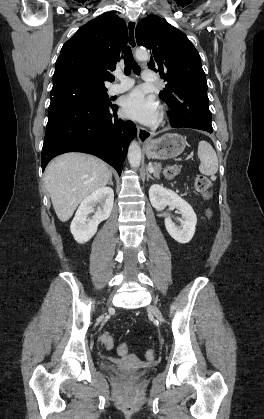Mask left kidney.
<instances>
[{
    "instance_id": "left-kidney-1",
    "label": "left kidney",
    "mask_w": 264,
    "mask_h": 419,
    "mask_svg": "<svg viewBox=\"0 0 264 419\" xmlns=\"http://www.w3.org/2000/svg\"><path fill=\"white\" fill-rule=\"evenodd\" d=\"M149 198L155 209L163 210L164 207L171 206L179 210L184 219L181 227H177L168 216L164 220L165 227L174 240L182 244L188 243L195 233L197 223V217L191 205L174 191L158 184L150 187Z\"/></svg>"
}]
</instances>
